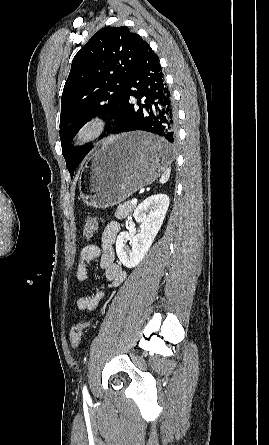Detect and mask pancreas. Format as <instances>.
Instances as JSON below:
<instances>
[{"label": "pancreas", "mask_w": 269, "mask_h": 445, "mask_svg": "<svg viewBox=\"0 0 269 445\" xmlns=\"http://www.w3.org/2000/svg\"><path fill=\"white\" fill-rule=\"evenodd\" d=\"M134 208L135 205L130 202L120 204L115 212V217L117 219H125Z\"/></svg>", "instance_id": "1"}]
</instances>
